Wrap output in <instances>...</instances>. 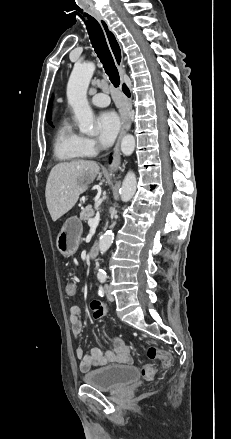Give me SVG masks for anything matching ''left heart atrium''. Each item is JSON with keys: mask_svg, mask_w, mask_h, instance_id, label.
Returning <instances> with one entry per match:
<instances>
[{"mask_svg": "<svg viewBox=\"0 0 231 439\" xmlns=\"http://www.w3.org/2000/svg\"><path fill=\"white\" fill-rule=\"evenodd\" d=\"M120 119L113 111L102 112L96 120V127L100 143L104 147L112 145L119 130Z\"/></svg>", "mask_w": 231, "mask_h": 439, "instance_id": "1", "label": "left heart atrium"}]
</instances>
